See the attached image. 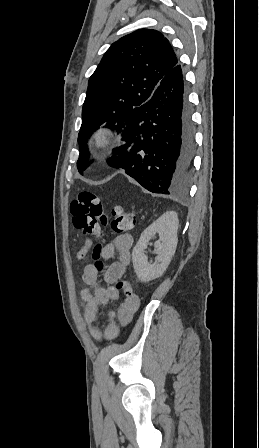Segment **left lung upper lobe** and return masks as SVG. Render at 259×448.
I'll use <instances>...</instances> for the list:
<instances>
[{
	"mask_svg": "<svg viewBox=\"0 0 259 448\" xmlns=\"http://www.w3.org/2000/svg\"><path fill=\"white\" fill-rule=\"evenodd\" d=\"M178 58L162 33L140 29L114 42L88 82L82 109L77 168L88 166L87 138L106 122L122 132L133 109L145 104Z\"/></svg>",
	"mask_w": 259,
	"mask_h": 448,
	"instance_id": "obj_1",
	"label": "left lung upper lobe"
}]
</instances>
